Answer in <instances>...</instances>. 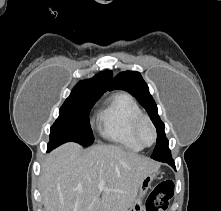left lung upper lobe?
<instances>
[{
	"label": "left lung upper lobe",
	"mask_w": 221,
	"mask_h": 211,
	"mask_svg": "<svg viewBox=\"0 0 221 211\" xmlns=\"http://www.w3.org/2000/svg\"><path fill=\"white\" fill-rule=\"evenodd\" d=\"M112 89H123L137 98L139 103L146 109L152 122L157 129V142L151 158L161 161L171 157L168 148V140L165 136V125L161 121L157 105L149 93V89L139 72L125 71L119 73L112 82Z\"/></svg>",
	"instance_id": "obj_1"
}]
</instances>
